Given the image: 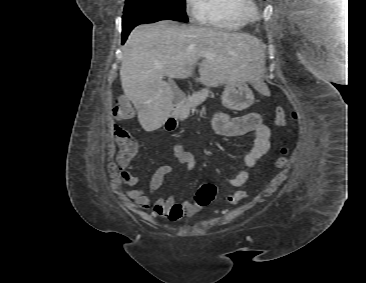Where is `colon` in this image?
<instances>
[{"label": "colon", "instance_id": "obj_1", "mask_svg": "<svg viewBox=\"0 0 366 283\" xmlns=\"http://www.w3.org/2000/svg\"><path fill=\"white\" fill-rule=\"evenodd\" d=\"M114 116L118 120H125L132 116L133 109L126 98L119 97L116 101V105L113 110ZM295 121L296 114L289 113L286 115L282 107L276 109L275 124L278 127L284 126L286 120ZM114 137L117 144L120 146L118 154V161L120 164H128L138 152L137 144L134 142L129 133L122 127L116 126L114 129ZM281 156L276 160L275 166L277 168H283L287 163V148L283 147L280 150ZM216 193V187L214 184L205 182L202 183L196 193L195 201L198 207H204L208 205L214 198ZM247 196L245 190L236 191L229 196L228 203L237 204Z\"/></svg>", "mask_w": 366, "mask_h": 283}]
</instances>
